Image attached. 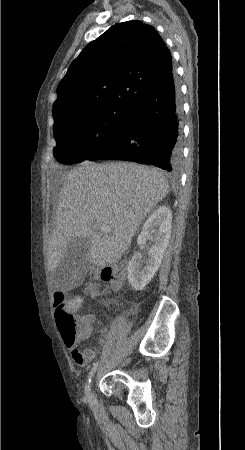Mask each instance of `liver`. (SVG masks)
<instances>
[{
	"mask_svg": "<svg viewBox=\"0 0 245 450\" xmlns=\"http://www.w3.org/2000/svg\"><path fill=\"white\" fill-rule=\"evenodd\" d=\"M168 192L161 172L136 163L83 164L66 173L48 243L50 270L56 269L75 238L91 241L90 269L118 262L141 222ZM98 224L110 226L112 234L94 232ZM82 301L79 297L69 301L65 311L73 312Z\"/></svg>",
	"mask_w": 245,
	"mask_h": 450,
	"instance_id": "obj_1",
	"label": "liver"
}]
</instances>
